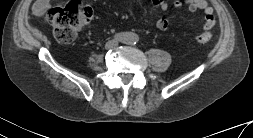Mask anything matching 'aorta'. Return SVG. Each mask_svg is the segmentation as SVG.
<instances>
[{"label":"aorta","mask_w":253,"mask_h":138,"mask_svg":"<svg viewBox=\"0 0 253 138\" xmlns=\"http://www.w3.org/2000/svg\"><path fill=\"white\" fill-rule=\"evenodd\" d=\"M123 40L126 44H135L136 42H138L139 37L136 33L127 32L124 34Z\"/></svg>","instance_id":"1"}]
</instances>
